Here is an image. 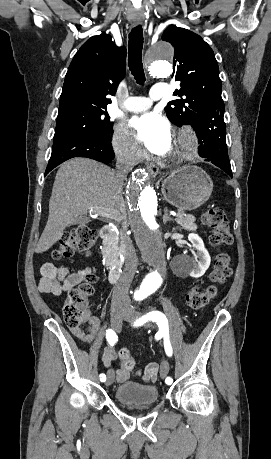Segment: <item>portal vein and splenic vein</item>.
Returning a JSON list of instances; mask_svg holds the SVG:
<instances>
[{"label":"portal vein and splenic vein","mask_w":271,"mask_h":459,"mask_svg":"<svg viewBox=\"0 0 271 459\" xmlns=\"http://www.w3.org/2000/svg\"><path fill=\"white\" fill-rule=\"evenodd\" d=\"M90 212L96 214V216H102V218H111L112 216V210H107V208H91ZM174 215L175 217H182L181 212H177V214Z\"/></svg>","instance_id":"18ae733b"}]
</instances>
